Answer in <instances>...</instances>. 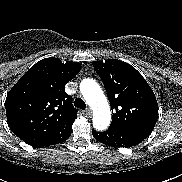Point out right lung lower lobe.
Returning a JSON list of instances; mask_svg holds the SVG:
<instances>
[{"instance_id": "98d812e1", "label": "right lung lower lobe", "mask_w": 182, "mask_h": 182, "mask_svg": "<svg viewBox=\"0 0 182 182\" xmlns=\"http://www.w3.org/2000/svg\"><path fill=\"white\" fill-rule=\"evenodd\" d=\"M71 133L65 135L64 137H62L61 139H58L56 141H52V142H47L43 145H39V146H36V147H42V146H49V145H55V144H59L61 142H64L66 141L69 137H70Z\"/></svg>"}]
</instances>
